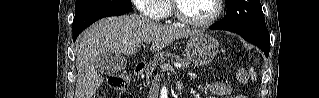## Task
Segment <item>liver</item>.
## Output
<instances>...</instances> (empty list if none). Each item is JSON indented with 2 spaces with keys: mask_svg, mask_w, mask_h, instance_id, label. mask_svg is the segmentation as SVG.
<instances>
[{
  "mask_svg": "<svg viewBox=\"0 0 319 98\" xmlns=\"http://www.w3.org/2000/svg\"><path fill=\"white\" fill-rule=\"evenodd\" d=\"M200 33L156 23L139 15L104 18L85 30L76 42L77 82L75 98H92L104 82L97 66L103 54L134 55L140 44L151 39L153 51L174 40Z\"/></svg>",
  "mask_w": 319,
  "mask_h": 98,
  "instance_id": "6515ba94",
  "label": "liver"
}]
</instances>
